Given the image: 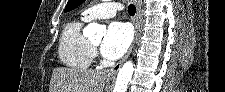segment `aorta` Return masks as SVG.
I'll list each match as a JSON object with an SVG mask.
<instances>
[{"mask_svg": "<svg viewBox=\"0 0 225 92\" xmlns=\"http://www.w3.org/2000/svg\"><path fill=\"white\" fill-rule=\"evenodd\" d=\"M85 34L92 36L96 33H105V28L97 23H90L85 28ZM134 71V65L132 61H127L123 67L119 70L117 80L114 87V92H126L128 83L132 78Z\"/></svg>", "mask_w": 225, "mask_h": 92, "instance_id": "1", "label": "aorta"}]
</instances>
